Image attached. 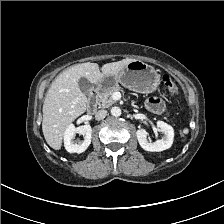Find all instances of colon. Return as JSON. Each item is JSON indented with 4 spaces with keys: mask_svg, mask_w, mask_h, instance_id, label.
I'll return each instance as SVG.
<instances>
[{
    "mask_svg": "<svg viewBox=\"0 0 224 224\" xmlns=\"http://www.w3.org/2000/svg\"><path fill=\"white\" fill-rule=\"evenodd\" d=\"M163 82L166 85V87L169 89L172 95H177L178 94V88L173 82V80L168 76L164 75L163 76Z\"/></svg>",
    "mask_w": 224,
    "mask_h": 224,
    "instance_id": "obj_1",
    "label": "colon"
}]
</instances>
